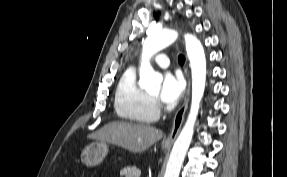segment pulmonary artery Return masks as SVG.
<instances>
[{
  "label": "pulmonary artery",
  "mask_w": 287,
  "mask_h": 177,
  "mask_svg": "<svg viewBox=\"0 0 287 177\" xmlns=\"http://www.w3.org/2000/svg\"><path fill=\"white\" fill-rule=\"evenodd\" d=\"M155 62L157 66L165 68L169 66V59L165 54H158L156 56Z\"/></svg>",
  "instance_id": "obj_1"
}]
</instances>
